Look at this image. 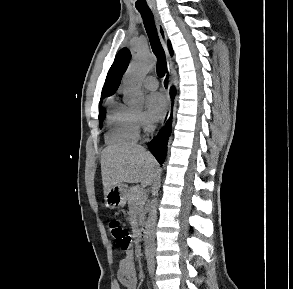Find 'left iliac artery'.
<instances>
[{
    "mask_svg": "<svg viewBox=\"0 0 293 289\" xmlns=\"http://www.w3.org/2000/svg\"><path fill=\"white\" fill-rule=\"evenodd\" d=\"M147 266H148V272H149V275H153L154 273V268H155V261L153 258H149L147 260Z\"/></svg>",
    "mask_w": 293,
    "mask_h": 289,
    "instance_id": "obj_1",
    "label": "left iliac artery"
}]
</instances>
